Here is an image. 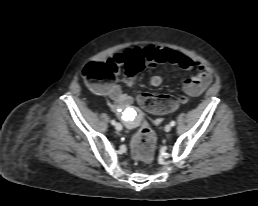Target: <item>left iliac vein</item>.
<instances>
[{
	"instance_id": "obj_1",
	"label": "left iliac vein",
	"mask_w": 258,
	"mask_h": 206,
	"mask_svg": "<svg viewBox=\"0 0 258 206\" xmlns=\"http://www.w3.org/2000/svg\"><path fill=\"white\" fill-rule=\"evenodd\" d=\"M164 129H165L166 132H170L171 131V125H166Z\"/></svg>"
}]
</instances>
